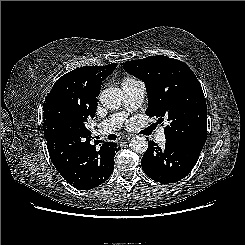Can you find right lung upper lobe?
Segmentation results:
<instances>
[{
  "label": "right lung upper lobe",
  "instance_id": "obj_1",
  "mask_svg": "<svg viewBox=\"0 0 245 245\" xmlns=\"http://www.w3.org/2000/svg\"><path fill=\"white\" fill-rule=\"evenodd\" d=\"M116 66V63H112L80 67L55 82L43 106L46 141L66 138L69 144L79 145L85 140H91L85 124L95 117L102 80Z\"/></svg>",
  "mask_w": 245,
  "mask_h": 245
}]
</instances>
